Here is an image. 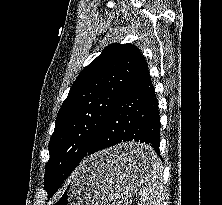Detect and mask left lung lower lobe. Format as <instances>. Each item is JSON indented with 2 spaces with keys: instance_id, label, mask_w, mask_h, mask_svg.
<instances>
[{
  "instance_id": "1",
  "label": "left lung lower lobe",
  "mask_w": 222,
  "mask_h": 205,
  "mask_svg": "<svg viewBox=\"0 0 222 205\" xmlns=\"http://www.w3.org/2000/svg\"><path fill=\"white\" fill-rule=\"evenodd\" d=\"M160 117L158 101L152 86L147 62L142 58L132 74L127 86L121 92L114 106L108 113L105 122L86 154L78 155L68 151L57 160L56 168L62 177L55 185L49 197L60 187L81 160L102 149L126 141H140L150 145L151 152L137 150L127 152L122 161L142 166L152 160L154 151L159 154Z\"/></svg>"
}]
</instances>
